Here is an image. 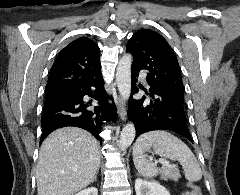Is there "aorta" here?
I'll use <instances>...</instances> for the list:
<instances>
[{
  "mask_svg": "<svg viewBox=\"0 0 240 195\" xmlns=\"http://www.w3.org/2000/svg\"><path fill=\"white\" fill-rule=\"evenodd\" d=\"M131 62V54H125V56H122L121 60H119L116 70L117 88L123 99L130 98L131 94ZM135 133L134 123H126V125H124L119 139L121 149H126V147L131 145Z\"/></svg>",
  "mask_w": 240,
  "mask_h": 195,
  "instance_id": "obj_1",
  "label": "aorta"
}]
</instances>
